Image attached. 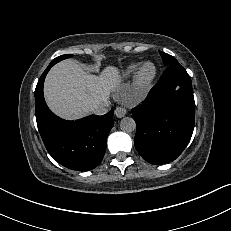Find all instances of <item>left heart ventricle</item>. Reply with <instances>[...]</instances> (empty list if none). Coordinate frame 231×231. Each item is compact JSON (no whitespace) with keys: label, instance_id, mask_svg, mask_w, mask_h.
I'll return each instance as SVG.
<instances>
[{"label":"left heart ventricle","instance_id":"1","mask_svg":"<svg viewBox=\"0 0 231 231\" xmlns=\"http://www.w3.org/2000/svg\"><path fill=\"white\" fill-rule=\"evenodd\" d=\"M152 71H153V68H152L151 65H149V66H147V67L145 68V70H144V75H145V76H149V75L152 73Z\"/></svg>","mask_w":231,"mask_h":231}]
</instances>
